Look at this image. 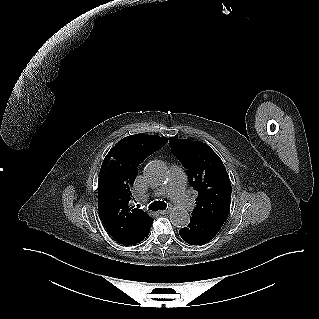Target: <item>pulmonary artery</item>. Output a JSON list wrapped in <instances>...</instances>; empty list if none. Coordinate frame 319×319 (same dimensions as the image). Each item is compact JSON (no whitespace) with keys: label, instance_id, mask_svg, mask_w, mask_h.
Returning a JSON list of instances; mask_svg holds the SVG:
<instances>
[{"label":"pulmonary artery","instance_id":"pulmonary-artery-1","mask_svg":"<svg viewBox=\"0 0 319 319\" xmlns=\"http://www.w3.org/2000/svg\"><path fill=\"white\" fill-rule=\"evenodd\" d=\"M155 195H166L170 197L184 210H188L191 206V199L185 192V177L179 168L173 169L167 185L159 189Z\"/></svg>","mask_w":319,"mask_h":319}]
</instances>
